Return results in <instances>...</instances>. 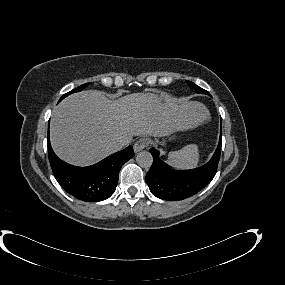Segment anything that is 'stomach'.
I'll return each mask as SVG.
<instances>
[{"label": "stomach", "instance_id": "stomach-1", "mask_svg": "<svg viewBox=\"0 0 285 285\" xmlns=\"http://www.w3.org/2000/svg\"><path fill=\"white\" fill-rule=\"evenodd\" d=\"M174 132L170 133L168 136H169V140H172L175 136H174Z\"/></svg>", "mask_w": 285, "mask_h": 285}]
</instances>
